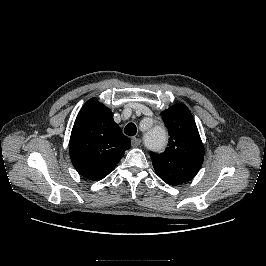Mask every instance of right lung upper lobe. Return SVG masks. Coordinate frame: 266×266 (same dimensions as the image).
Returning a JSON list of instances; mask_svg holds the SVG:
<instances>
[{
  "instance_id": "obj_1",
  "label": "right lung upper lobe",
  "mask_w": 266,
  "mask_h": 266,
  "mask_svg": "<svg viewBox=\"0 0 266 266\" xmlns=\"http://www.w3.org/2000/svg\"><path fill=\"white\" fill-rule=\"evenodd\" d=\"M130 144L114 122L111 110L92 98L77 115L69 153L80 175L98 181L115 168Z\"/></svg>"
}]
</instances>
